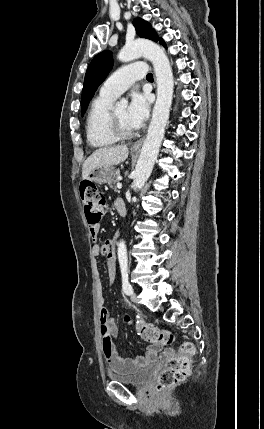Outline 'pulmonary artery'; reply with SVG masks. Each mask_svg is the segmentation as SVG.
<instances>
[{"instance_id": "1", "label": "pulmonary artery", "mask_w": 264, "mask_h": 429, "mask_svg": "<svg viewBox=\"0 0 264 429\" xmlns=\"http://www.w3.org/2000/svg\"><path fill=\"white\" fill-rule=\"evenodd\" d=\"M147 67L142 62L129 64L114 72L101 86L100 93L118 97L126 91L136 80L145 77Z\"/></svg>"}]
</instances>
